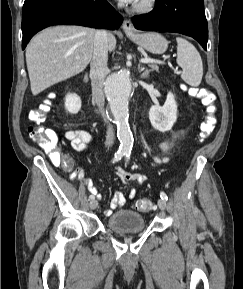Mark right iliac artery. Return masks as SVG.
Returning <instances> with one entry per match:
<instances>
[{
    "label": "right iliac artery",
    "instance_id": "obj_1",
    "mask_svg": "<svg viewBox=\"0 0 243 289\" xmlns=\"http://www.w3.org/2000/svg\"><path fill=\"white\" fill-rule=\"evenodd\" d=\"M124 155H125V152L119 150L117 153H115V156H114L112 162L114 163V162H117V161L121 160V158H122ZM94 198H95V197H94V194H91V195L89 196V199H90V200H92V199H94Z\"/></svg>",
    "mask_w": 243,
    "mask_h": 289
}]
</instances>
